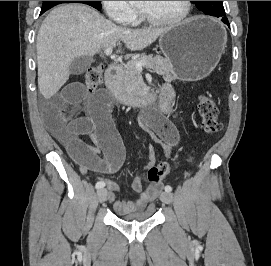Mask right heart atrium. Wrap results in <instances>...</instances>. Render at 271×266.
<instances>
[{
	"label": "right heart atrium",
	"instance_id": "1",
	"mask_svg": "<svg viewBox=\"0 0 271 266\" xmlns=\"http://www.w3.org/2000/svg\"><path fill=\"white\" fill-rule=\"evenodd\" d=\"M107 16L118 24H132L137 20L138 11L128 1H101Z\"/></svg>",
	"mask_w": 271,
	"mask_h": 266
}]
</instances>
